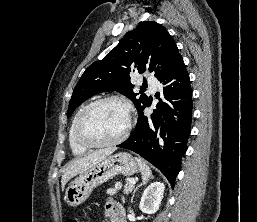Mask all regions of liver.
<instances>
[{"label":"liver","instance_id":"obj_1","mask_svg":"<svg viewBox=\"0 0 257 222\" xmlns=\"http://www.w3.org/2000/svg\"><path fill=\"white\" fill-rule=\"evenodd\" d=\"M114 151L115 148L101 149L84 157L70 161L63 171L61 179L62 189H64L66 183L71 178L87 171L99 161L103 160L107 156H110Z\"/></svg>","mask_w":257,"mask_h":222}]
</instances>
